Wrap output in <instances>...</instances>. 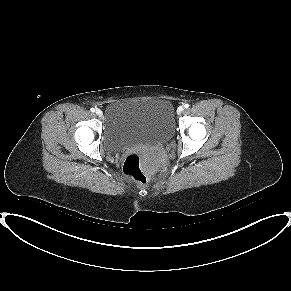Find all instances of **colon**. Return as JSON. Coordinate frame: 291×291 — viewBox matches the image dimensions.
<instances>
[{
    "mask_svg": "<svg viewBox=\"0 0 291 291\" xmlns=\"http://www.w3.org/2000/svg\"><path fill=\"white\" fill-rule=\"evenodd\" d=\"M144 158L143 152L130 153L124 162V172L128 177L145 186L150 183L151 177L144 169Z\"/></svg>",
    "mask_w": 291,
    "mask_h": 291,
    "instance_id": "colon-1",
    "label": "colon"
}]
</instances>
